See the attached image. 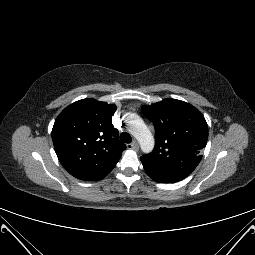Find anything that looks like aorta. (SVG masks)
<instances>
[{
  "label": "aorta",
  "mask_w": 255,
  "mask_h": 255,
  "mask_svg": "<svg viewBox=\"0 0 255 255\" xmlns=\"http://www.w3.org/2000/svg\"><path fill=\"white\" fill-rule=\"evenodd\" d=\"M125 121L131 134L138 140L144 153H149L154 148V137L144 121L134 113L125 115Z\"/></svg>",
  "instance_id": "1"
}]
</instances>
